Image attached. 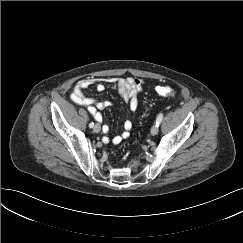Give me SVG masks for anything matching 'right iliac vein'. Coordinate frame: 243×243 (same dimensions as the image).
<instances>
[{
    "mask_svg": "<svg viewBox=\"0 0 243 243\" xmlns=\"http://www.w3.org/2000/svg\"><path fill=\"white\" fill-rule=\"evenodd\" d=\"M100 130H101V126L99 124H95L93 127V131L95 133H98V132H100Z\"/></svg>",
    "mask_w": 243,
    "mask_h": 243,
    "instance_id": "1",
    "label": "right iliac vein"
}]
</instances>
